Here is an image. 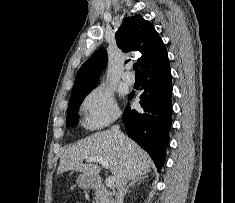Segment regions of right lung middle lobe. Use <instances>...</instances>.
Segmentation results:
<instances>
[{
    "label": "right lung middle lobe",
    "instance_id": "obj_1",
    "mask_svg": "<svg viewBox=\"0 0 235 203\" xmlns=\"http://www.w3.org/2000/svg\"><path fill=\"white\" fill-rule=\"evenodd\" d=\"M96 85L85 88L81 91L71 94V98L68 106L67 114V126L74 127L78 121V109L85 96L95 87Z\"/></svg>",
    "mask_w": 235,
    "mask_h": 203
}]
</instances>
